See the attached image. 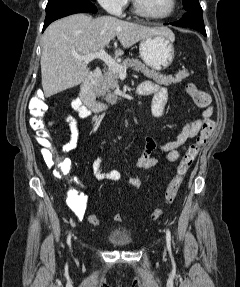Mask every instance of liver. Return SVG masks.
I'll use <instances>...</instances> for the list:
<instances>
[{"label": "liver", "mask_w": 240, "mask_h": 287, "mask_svg": "<svg viewBox=\"0 0 240 287\" xmlns=\"http://www.w3.org/2000/svg\"><path fill=\"white\" fill-rule=\"evenodd\" d=\"M153 35H173L168 27H149L112 16L93 19L74 14L57 20L43 34L41 54L42 87L45 97L82 83L89 75L87 63L75 55H87L107 47L117 37L123 48ZM122 50H116L121 55Z\"/></svg>", "instance_id": "1"}]
</instances>
